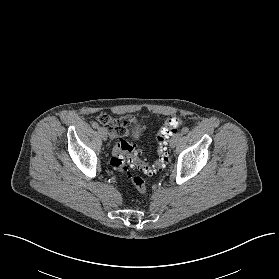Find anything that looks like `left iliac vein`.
Segmentation results:
<instances>
[{
    "label": "left iliac vein",
    "instance_id": "obj_1",
    "mask_svg": "<svg viewBox=\"0 0 279 279\" xmlns=\"http://www.w3.org/2000/svg\"><path fill=\"white\" fill-rule=\"evenodd\" d=\"M182 136H183L182 132L174 134L171 137L170 142H169L170 148H174L178 144V142L181 140Z\"/></svg>",
    "mask_w": 279,
    "mask_h": 279
}]
</instances>
